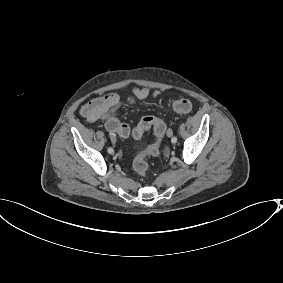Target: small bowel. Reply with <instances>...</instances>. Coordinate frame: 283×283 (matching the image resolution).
<instances>
[{"mask_svg":"<svg viewBox=\"0 0 283 283\" xmlns=\"http://www.w3.org/2000/svg\"><path fill=\"white\" fill-rule=\"evenodd\" d=\"M131 92L134 97L141 100L150 95L153 97L158 95V92H151L144 87H133ZM122 104L123 97L118 93L111 92L89 100L81 107L80 113L86 122L94 123L103 121L115 114Z\"/></svg>","mask_w":283,"mask_h":283,"instance_id":"1","label":"small bowel"}]
</instances>
